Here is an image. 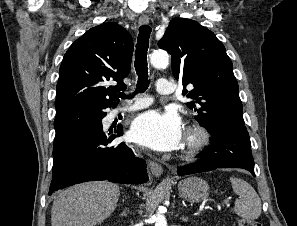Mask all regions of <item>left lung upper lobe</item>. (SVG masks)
I'll list each match as a JSON object with an SVG mask.
<instances>
[{"instance_id":"5c2ea615","label":"left lung upper lobe","mask_w":297,"mask_h":226,"mask_svg":"<svg viewBox=\"0 0 297 226\" xmlns=\"http://www.w3.org/2000/svg\"><path fill=\"white\" fill-rule=\"evenodd\" d=\"M172 55V72L184 85L183 93L194 101L187 106L207 130L217 125L244 126L239 86L224 45L198 22L176 18L158 42ZM193 85L187 91L185 87Z\"/></svg>"}]
</instances>
